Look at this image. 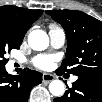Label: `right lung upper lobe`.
<instances>
[{"instance_id": "cb5924a9", "label": "right lung upper lobe", "mask_w": 102, "mask_h": 102, "mask_svg": "<svg viewBox=\"0 0 102 102\" xmlns=\"http://www.w3.org/2000/svg\"><path fill=\"white\" fill-rule=\"evenodd\" d=\"M43 13L16 6L0 7V34L22 41L25 33Z\"/></svg>"}]
</instances>
